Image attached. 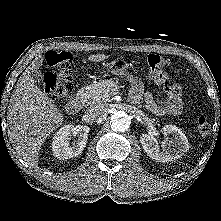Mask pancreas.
Masks as SVG:
<instances>
[{
    "label": "pancreas",
    "instance_id": "obj_1",
    "mask_svg": "<svg viewBox=\"0 0 221 221\" xmlns=\"http://www.w3.org/2000/svg\"><path fill=\"white\" fill-rule=\"evenodd\" d=\"M118 85L111 80H102L92 84L85 93V99H90L92 103H104L110 101L111 96L116 94Z\"/></svg>",
    "mask_w": 221,
    "mask_h": 221
}]
</instances>
